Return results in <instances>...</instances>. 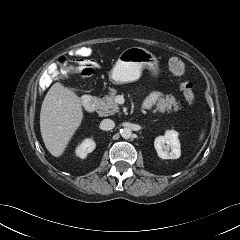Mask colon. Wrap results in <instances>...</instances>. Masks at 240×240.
<instances>
[{
  "label": "colon",
  "mask_w": 240,
  "mask_h": 240,
  "mask_svg": "<svg viewBox=\"0 0 240 240\" xmlns=\"http://www.w3.org/2000/svg\"><path fill=\"white\" fill-rule=\"evenodd\" d=\"M90 54L91 49L89 47H80L73 50L70 55L59 57L55 62L60 68H74L82 77H88L92 75L95 67V62L88 58ZM168 67L170 72L181 80L180 88L187 103L193 104L195 101L193 85L191 82L183 80L185 74L184 62L177 57H173L169 60Z\"/></svg>",
  "instance_id": "1"
}]
</instances>
